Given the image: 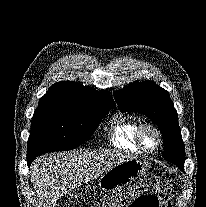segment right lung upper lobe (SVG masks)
<instances>
[{
	"mask_svg": "<svg viewBox=\"0 0 206 207\" xmlns=\"http://www.w3.org/2000/svg\"><path fill=\"white\" fill-rule=\"evenodd\" d=\"M39 104L65 105L86 109L111 107L116 109L112 96L107 91H96L73 81H62L51 86Z\"/></svg>",
	"mask_w": 206,
	"mask_h": 207,
	"instance_id": "right-lung-upper-lobe-1",
	"label": "right lung upper lobe"
}]
</instances>
